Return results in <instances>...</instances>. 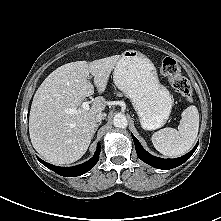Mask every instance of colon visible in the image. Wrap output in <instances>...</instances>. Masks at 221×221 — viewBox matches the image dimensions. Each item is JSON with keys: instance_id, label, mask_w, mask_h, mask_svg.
I'll return each mask as SVG.
<instances>
[{"instance_id": "1", "label": "colon", "mask_w": 221, "mask_h": 221, "mask_svg": "<svg viewBox=\"0 0 221 221\" xmlns=\"http://www.w3.org/2000/svg\"><path fill=\"white\" fill-rule=\"evenodd\" d=\"M162 74L168 78L172 87L185 100L191 101L193 92L188 80L182 76L178 62L170 57L164 58L161 65Z\"/></svg>"}]
</instances>
